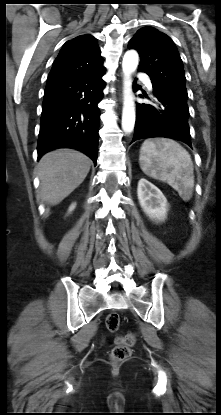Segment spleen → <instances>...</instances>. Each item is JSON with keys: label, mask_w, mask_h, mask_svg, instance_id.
Returning a JSON list of instances; mask_svg holds the SVG:
<instances>
[{"label": "spleen", "mask_w": 221, "mask_h": 415, "mask_svg": "<svg viewBox=\"0 0 221 415\" xmlns=\"http://www.w3.org/2000/svg\"><path fill=\"white\" fill-rule=\"evenodd\" d=\"M142 171L167 182L184 201H189L194 188L193 163L190 154L172 139H148L140 148Z\"/></svg>", "instance_id": "3e777b00"}]
</instances>
